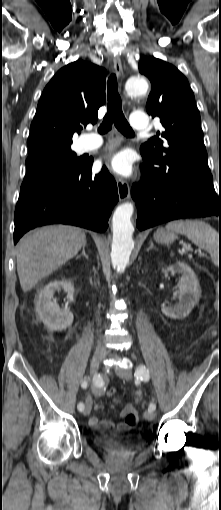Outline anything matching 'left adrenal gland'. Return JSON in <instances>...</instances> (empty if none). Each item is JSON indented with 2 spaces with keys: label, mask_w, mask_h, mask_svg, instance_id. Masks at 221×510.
I'll return each instance as SVG.
<instances>
[{
  "label": "left adrenal gland",
  "mask_w": 221,
  "mask_h": 510,
  "mask_svg": "<svg viewBox=\"0 0 221 510\" xmlns=\"http://www.w3.org/2000/svg\"><path fill=\"white\" fill-rule=\"evenodd\" d=\"M151 249L158 250V249L154 246L153 241H150V247L147 249V251H149V250H151Z\"/></svg>",
  "instance_id": "a2214340"
}]
</instances>
